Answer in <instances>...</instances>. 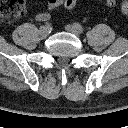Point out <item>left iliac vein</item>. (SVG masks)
Here are the masks:
<instances>
[{
    "instance_id": "obj_1",
    "label": "left iliac vein",
    "mask_w": 128,
    "mask_h": 128,
    "mask_svg": "<svg viewBox=\"0 0 128 128\" xmlns=\"http://www.w3.org/2000/svg\"><path fill=\"white\" fill-rule=\"evenodd\" d=\"M65 29H66V31H68V32H70V33H72V34H74V35H76V36H79L78 30H77L74 26H72V25H67V26L65 27Z\"/></svg>"
}]
</instances>
